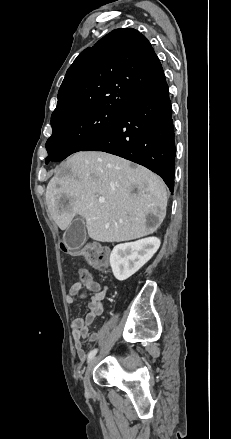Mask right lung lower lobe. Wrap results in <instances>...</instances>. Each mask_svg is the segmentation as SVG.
I'll return each instance as SVG.
<instances>
[{
    "mask_svg": "<svg viewBox=\"0 0 231 439\" xmlns=\"http://www.w3.org/2000/svg\"><path fill=\"white\" fill-rule=\"evenodd\" d=\"M83 151H103L143 165L173 192L175 140L168 85L131 102L119 121Z\"/></svg>",
    "mask_w": 231,
    "mask_h": 439,
    "instance_id": "1",
    "label": "right lung lower lobe"
}]
</instances>
